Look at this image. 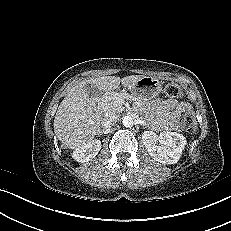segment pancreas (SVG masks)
Returning <instances> with one entry per match:
<instances>
[{
  "label": "pancreas",
  "instance_id": "obj_1",
  "mask_svg": "<svg viewBox=\"0 0 231 231\" xmlns=\"http://www.w3.org/2000/svg\"><path fill=\"white\" fill-rule=\"evenodd\" d=\"M134 98L130 94L119 92L103 98L101 108L107 113H120L124 110L123 103L125 100Z\"/></svg>",
  "mask_w": 231,
  "mask_h": 231
}]
</instances>
